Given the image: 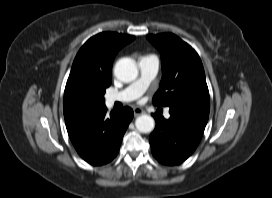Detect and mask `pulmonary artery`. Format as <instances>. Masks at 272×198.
<instances>
[{
    "label": "pulmonary artery",
    "mask_w": 272,
    "mask_h": 198,
    "mask_svg": "<svg viewBox=\"0 0 272 198\" xmlns=\"http://www.w3.org/2000/svg\"><path fill=\"white\" fill-rule=\"evenodd\" d=\"M140 77L125 89L107 96V102H130L143 94L149 83L156 76L159 69V60L154 55L143 56L138 61ZM165 117H169V112H165Z\"/></svg>",
    "instance_id": "pulmonary-artery-1"
}]
</instances>
